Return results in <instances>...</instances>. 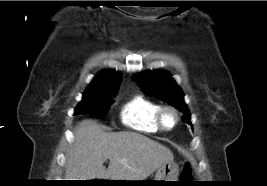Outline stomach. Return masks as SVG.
Returning <instances> with one entry per match:
<instances>
[{
  "label": "stomach",
  "instance_id": "1",
  "mask_svg": "<svg viewBox=\"0 0 267 186\" xmlns=\"http://www.w3.org/2000/svg\"><path fill=\"white\" fill-rule=\"evenodd\" d=\"M178 174H179V168L176 162L170 161L164 163L157 169L154 178L152 180H148L155 182H151L148 185H154V186L172 185L170 184L172 182H164V181H177ZM141 181H146V180H141Z\"/></svg>",
  "mask_w": 267,
  "mask_h": 186
}]
</instances>
